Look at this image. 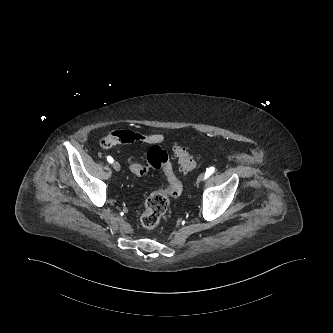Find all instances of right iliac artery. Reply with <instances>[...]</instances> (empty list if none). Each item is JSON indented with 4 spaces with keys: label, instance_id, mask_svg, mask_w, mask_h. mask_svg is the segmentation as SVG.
Returning a JSON list of instances; mask_svg holds the SVG:
<instances>
[{
    "label": "right iliac artery",
    "instance_id": "82829eb1",
    "mask_svg": "<svg viewBox=\"0 0 333 333\" xmlns=\"http://www.w3.org/2000/svg\"><path fill=\"white\" fill-rule=\"evenodd\" d=\"M107 160H108L109 163H113V161H114L113 158H112L111 156H108V157H107Z\"/></svg>",
    "mask_w": 333,
    "mask_h": 333
}]
</instances>
